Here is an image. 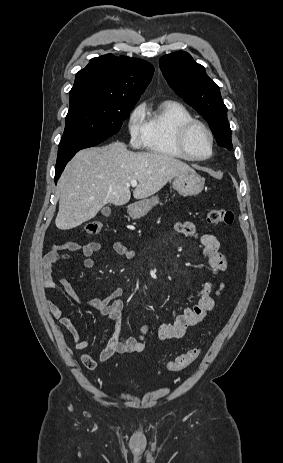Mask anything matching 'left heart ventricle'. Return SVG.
<instances>
[{
	"label": "left heart ventricle",
	"mask_w": 283,
	"mask_h": 463,
	"mask_svg": "<svg viewBox=\"0 0 283 463\" xmlns=\"http://www.w3.org/2000/svg\"><path fill=\"white\" fill-rule=\"evenodd\" d=\"M188 147L192 154L204 157L210 153V140L206 132L200 128H194L188 136Z\"/></svg>",
	"instance_id": "obj_1"
}]
</instances>
